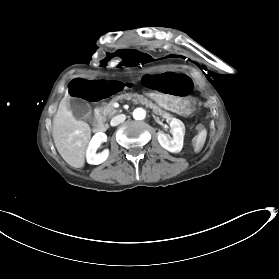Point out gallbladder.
Wrapping results in <instances>:
<instances>
[{
	"instance_id": "obj_1",
	"label": "gallbladder",
	"mask_w": 279,
	"mask_h": 279,
	"mask_svg": "<svg viewBox=\"0 0 279 279\" xmlns=\"http://www.w3.org/2000/svg\"><path fill=\"white\" fill-rule=\"evenodd\" d=\"M69 109L78 120L89 121L92 118L89 105L82 99H70Z\"/></svg>"
}]
</instances>
